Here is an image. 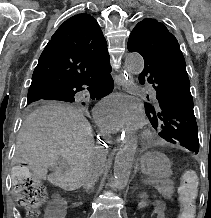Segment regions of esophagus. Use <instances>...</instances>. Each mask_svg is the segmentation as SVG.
Listing matches in <instances>:
<instances>
[{
	"label": "esophagus",
	"instance_id": "34e87169",
	"mask_svg": "<svg viewBox=\"0 0 211 218\" xmlns=\"http://www.w3.org/2000/svg\"><path fill=\"white\" fill-rule=\"evenodd\" d=\"M116 83L122 89L129 90L131 88L129 84H132L133 80L128 72H123L117 76ZM119 126H120L119 129L122 131L124 129L123 128L124 125L121 123ZM113 136L118 137L115 141L116 144H124L126 141H130L131 139L130 136H127L126 132H114Z\"/></svg>",
	"mask_w": 211,
	"mask_h": 218
}]
</instances>
